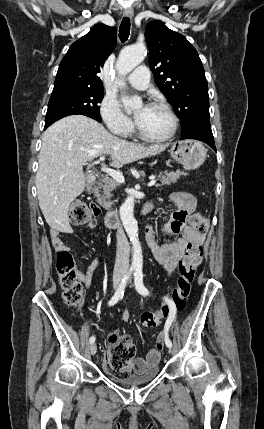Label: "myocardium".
I'll return each instance as SVG.
<instances>
[{"instance_id":"1","label":"myocardium","mask_w":264,"mask_h":429,"mask_svg":"<svg viewBox=\"0 0 264 429\" xmlns=\"http://www.w3.org/2000/svg\"><path fill=\"white\" fill-rule=\"evenodd\" d=\"M148 107H153V108H158L161 110H164L168 116L171 118L172 121V127L170 132L163 136V137H158V138H154V137H149L147 136L139 127L138 123H136V133L138 135V137L146 142H151V143H161V142H165L170 140L171 138L174 137V135L177 132L178 129V125H179V120L177 115L175 114V112L171 109V107L164 103V102H160V101H155V102H151Z\"/></svg>"}]
</instances>
